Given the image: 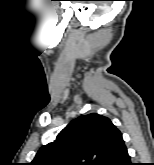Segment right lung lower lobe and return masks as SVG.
I'll return each mask as SVG.
<instances>
[{
    "mask_svg": "<svg viewBox=\"0 0 154 165\" xmlns=\"http://www.w3.org/2000/svg\"><path fill=\"white\" fill-rule=\"evenodd\" d=\"M100 165H132L122 134L119 135L109 148V153Z\"/></svg>",
    "mask_w": 154,
    "mask_h": 165,
    "instance_id": "98d812e1",
    "label": "right lung lower lobe"
}]
</instances>
